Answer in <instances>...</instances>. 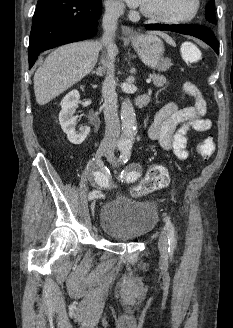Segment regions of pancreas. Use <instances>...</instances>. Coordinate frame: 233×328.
Returning a JSON list of instances; mask_svg holds the SVG:
<instances>
[{"label": "pancreas", "instance_id": "pancreas-1", "mask_svg": "<svg viewBox=\"0 0 233 328\" xmlns=\"http://www.w3.org/2000/svg\"><path fill=\"white\" fill-rule=\"evenodd\" d=\"M151 78L153 80V84L156 87H163L164 85H167L168 84L166 77L163 76V75L152 74L151 75Z\"/></svg>", "mask_w": 233, "mask_h": 328}]
</instances>
